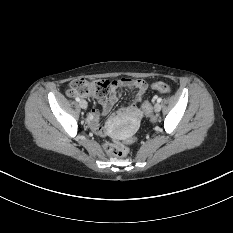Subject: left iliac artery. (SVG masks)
<instances>
[{
  "label": "left iliac artery",
  "instance_id": "left-iliac-artery-1",
  "mask_svg": "<svg viewBox=\"0 0 233 233\" xmlns=\"http://www.w3.org/2000/svg\"><path fill=\"white\" fill-rule=\"evenodd\" d=\"M161 101H162V98H158V99H157V102H161Z\"/></svg>",
  "mask_w": 233,
  "mask_h": 233
}]
</instances>
